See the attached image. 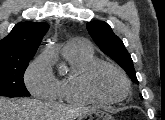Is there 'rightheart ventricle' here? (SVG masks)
<instances>
[{
  "label": "right heart ventricle",
  "instance_id": "e07e8e85",
  "mask_svg": "<svg viewBox=\"0 0 165 120\" xmlns=\"http://www.w3.org/2000/svg\"><path fill=\"white\" fill-rule=\"evenodd\" d=\"M63 56L69 65V73L58 80L57 93L54 99L68 104H89V99L81 90V78L84 70L96 58L91 50L68 51L64 50Z\"/></svg>",
  "mask_w": 165,
  "mask_h": 120
}]
</instances>
